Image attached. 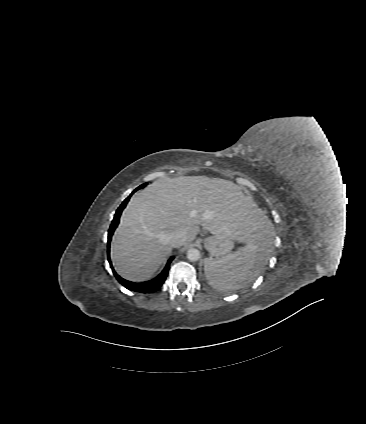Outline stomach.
Returning <instances> with one entry per match:
<instances>
[{
    "instance_id": "0dacf381",
    "label": "stomach",
    "mask_w": 366,
    "mask_h": 424,
    "mask_svg": "<svg viewBox=\"0 0 366 424\" xmlns=\"http://www.w3.org/2000/svg\"><path fill=\"white\" fill-rule=\"evenodd\" d=\"M203 244L212 256L219 258L225 256L233 249L234 239L226 235H214L205 238Z\"/></svg>"
}]
</instances>
